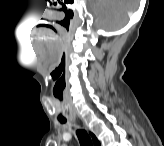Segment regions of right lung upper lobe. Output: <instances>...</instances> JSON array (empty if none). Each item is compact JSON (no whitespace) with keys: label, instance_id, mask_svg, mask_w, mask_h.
<instances>
[{"label":"right lung upper lobe","instance_id":"cb5924a9","mask_svg":"<svg viewBox=\"0 0 164 146\" xmlns=\"http://www.w3.org/2000/svg\"><path fill=\"white\" fill-rule=\"evenodd\" d=\"M91 135H92V138H93L94 145H95V146L100 145V144H99V141L97 140V138H96L93 134H91Z\"/></svg>","mask_w":164,"mask_h":146}]
</instances>
